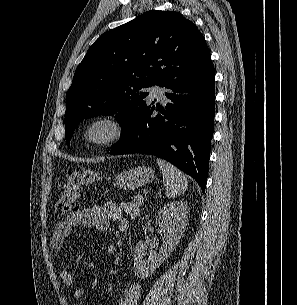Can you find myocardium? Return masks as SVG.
I'll return each instance as SVG.
<instances>
[{
    "label": "myocardium",
    "mask_w": 297,
    "mask_h": 305,
    "mask_svg": "<svg viewBox=\"0 0 297 305\" xmlns=\"http://www.w3.org/2000/svg\"><path fill=\"white\" fill-rule=\"evenodd\" d=\"M103 127L106 129V134L100 138H95L92 135L93 130ZM126 132L124 122L116 115L101 114L88 119L81 128V139L90 147H105L120 141Z\"/></svg>",
    "instance_id": "obj_1"
}]
</instances>
